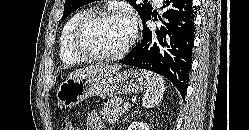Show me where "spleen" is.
Instances as JSON below:
<instances>
[{"instance_id":"1","label":"spleen","mask_w":249,"mask_h":130,"mask_svg":"<svg viewBox=\"0 0 249 130\" xmlns=\"http://www.w3.org/2000/svg\"><path fill=\"white\" fill-rule=\"evenodd\" d=\"M147 81V90L142 99V104L145 108H152L158 105L163 98L165 91L164 79L150 71L141 70Z\"/></svg>"}]
</instances>
